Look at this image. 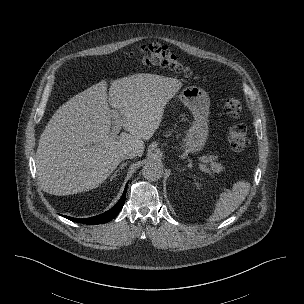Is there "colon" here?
Segmentation results:
<instances>
[{"label":"colon","instance_id":"colon-1","mask_svg":"<svg viewBox=\"0 0 304 304\" xmlns=\"http://www.w3.org/2000/svg\"><path fill=\"white\" fill-rule=\"evenodd\" d=\"M130 58H134L143 65L162 66L185 77L197 78L191 67L186 65L167 46L158 43L144 45L138 52L131 54ZM223 111L228 117L237 120L242 112V102L236 96H228L224 101ZM227 140L233 151H243L247 144V128L245 124L237 121L230 125L227 132Z\"/></svg>","mask_w":304,"mask_h":304}]
</instances>
